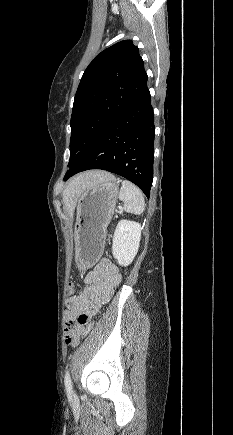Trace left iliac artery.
I'll return each mask as SVG.
<instances>
[{
	"mask_svg": "<svg viewBox=\"0 0 233 435\" xmlns=\"http://www.w3.org/2000/svg\"><path fill=\"white\" fill-rule=\"evenodd\" d=\"M64 384H65L67 392L72 391L71 378H70V374H69L68 370L66 371L65 376H64Z\"/></svg>",
	"mask_w": 233,
	"mask_h": 435,
	"instance_id": "44dca946",
	"label": "left iliac artery"
}]
</instances>
